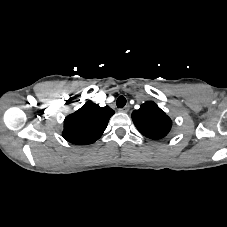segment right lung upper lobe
I'll list each match as a JSON object with an SVG mask.
<instances>
[{"label":"right lung upper lobe","mask_w":227,"mask_h":227,"mask_svg":"<svg viewBox=\"0 0 227 227\" xmlns=\"http://www.w3.org/2000/svg\"><path fill=\"white\" fill-rule=\"evenodd\" d=\"M114 114L109 106L100 107L92 101L86 102L64 120L63 137L73 144H91L98 140Z\"/></svg>","instance_id":"right-lung-upper-lobe-1"}]
</instances>
